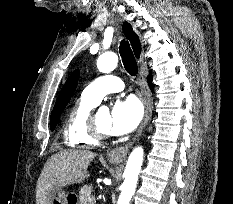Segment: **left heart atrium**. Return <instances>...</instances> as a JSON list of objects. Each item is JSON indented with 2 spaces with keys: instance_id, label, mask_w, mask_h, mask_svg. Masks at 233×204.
I'll use <instances>...</instances> for the list:
<instances>
[{
  "instance_id": "obj_1",
  "label": "left heart atrium",
  "mask_w": 233,
  "mask_h": 204,
  "mask_svg": "<svg viewBox=\"0 0 233 204\" xmlns=\"http://www.w3.org/2000/svg\"><path fill=\"white\" fill-rule=\"evenodd\" d=\"M142 116L143 108L136 97L117 100L110 114V133L124 135L132 132L139 125Z\"/></svg>"
}]
</instances>
